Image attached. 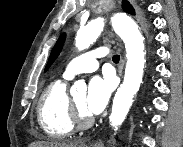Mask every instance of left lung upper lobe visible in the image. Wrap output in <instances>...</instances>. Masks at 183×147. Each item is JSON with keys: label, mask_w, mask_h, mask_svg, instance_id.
<instances>
[{"label": "left lung upper lobe", "mask_w": 183, "mask_h": 147, "mask_svg": "<svg viewBox=\"0 0 183 147\" xmlns=\"http://www.w3.org/2000/svg\"><path fill=\"white\" fill-rule=\"evenodd\" d=\"M122 8L125 12H128L130 14H134V10H133L132 6L128 3V1L123 0ZM64 40H65V34L60 36V38L58 39L56 45L52 49V52L50 54V57H49L47 65H46L45 71L50 67V65L58 57V55L61 51L62 45L64 43Z\"/></svg>", "instance_id": "5c2ea615"}]
</instances>
